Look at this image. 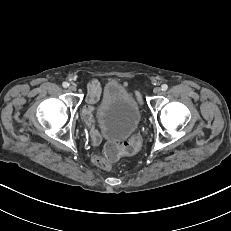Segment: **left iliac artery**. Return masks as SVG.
<instances>
[{"label":"left iliac artery","instance_id":"obj_1","mask_svg":"<svg viewBox=\"0 0 231 231\" xmlns=\"http://www.w3.org/2000/svg\"><path fill=\"white\" fill-rule=\"evenodd\" d=\"M161 88H162L163 91H166L168 89V85L167 84H163L161 86Z\"/></svg>","mask_w":231,"mask_h":231}]
</instances>
